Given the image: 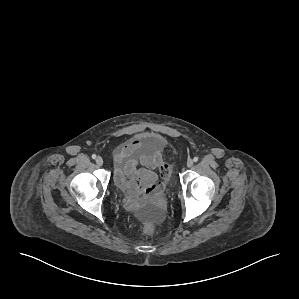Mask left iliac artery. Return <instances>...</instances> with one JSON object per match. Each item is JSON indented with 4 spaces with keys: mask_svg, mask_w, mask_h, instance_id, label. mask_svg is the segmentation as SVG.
Masks as SVG:
<instances>
[{
    "mask_svg": "<svg viewBox=\"0 0 299 299\" xmlns=\"http://www.w3.org/2000/svg\"><path fill=\"white\" fill-rule=\"evenodd\" d=\"M193 161H194V162H197V161H198V157H194V158H193Z\"/></svg>",
    "mask_w": 299,
    "mask_h": 299,
    "instance_id": "obj_1",
    "label": "left iliac artery"
}]
</instances>
